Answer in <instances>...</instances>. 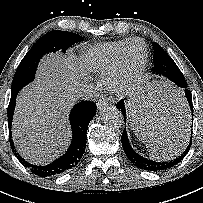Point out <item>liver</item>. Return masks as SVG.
Instances as JSON below:
<instances>
[{"label": "liver", "mask_w": 203, "mask_h": 203, "mask_svg": "<svg viewBox=\"0 0 203 203\" xmlns=\"http://www.w3.org/2000/svg\"><path fill=\"white\" fill-rule=\"evenodd\" d=\"M83 73L71 55L50 54L41 62L36 80L17 98L12 135L18 152L34 164H46L66 146L71 136L68 112L74 89L83 84ZM145 101L129 102L130 124L148 144L159 150L187 129V116L159 111L145 117Z\"/></svg>", "instance_id": "6515ba94"}]
</instances>
